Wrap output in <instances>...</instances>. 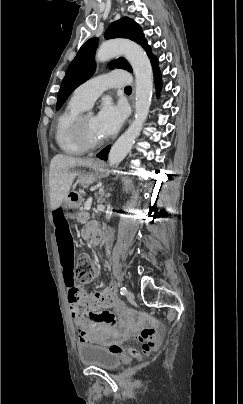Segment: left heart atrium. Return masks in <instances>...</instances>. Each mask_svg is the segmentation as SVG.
Listing matches in <instances>:
<instances>
[{
    "mask_svg": "<svg viewBox=\"0 0 243 404\" xmlns=\"http://www.w3.org/2000/svg\"><path fill=\"white\" fill-rule=\"evenodd\" d=\"M123 121V114L119 107L111 100H105L99 113L95 116V130L101 140L113 136Z\"/></svg>",
    "mask_w": 243,
    "mask_h": 404,
    "instance_id": "obj_1",
    "label": "left heart atrium"
}]
</instances>
